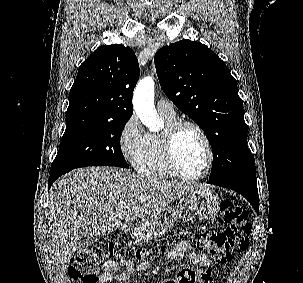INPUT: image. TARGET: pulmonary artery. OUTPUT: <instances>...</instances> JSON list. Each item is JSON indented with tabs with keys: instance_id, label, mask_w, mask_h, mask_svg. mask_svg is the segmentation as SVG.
<instances>
[{
	"instance_id": "1",
	"label": "pulmonary artery",
	"mask_w": 303,
	"mask_h": 283,
	"mask_svg": "<svg viewBox=\"0 0 303 283\" xmlns=\"http://www.w3.org/2000/svg\"><path fill=\"white\" fill-rule=\"evenodd\" d=\"M157 110L163 116H167V117L175 116L173 105L168 100L165 99L158 100Z\"/></svg>"
}]
</instances>
